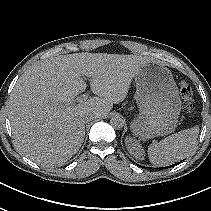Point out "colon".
<instances>
[{
	"label": "colon",
	"mask_w": 211,
	"mask_h": 211,
	"mask_svg": "<svg viewBox=\"0 0 211 211\" xmlns=\"http://www.w3.org/2000/svg\"><path fill=\"white\" fill-rule=\"evenodd\" d=\"M179 91L180 96L182 98L184 110L186 112H192L195 106L194 93L192 87L186 82H181Z\"/></svg>",
	"instance_id": "5ec220e1"
}]
</instances>
